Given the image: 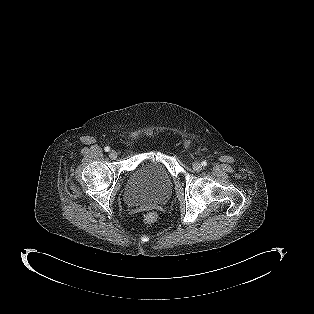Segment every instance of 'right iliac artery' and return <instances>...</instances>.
I'll return each mask as SVG.
<instances>
[{
    "instance_id": "right-iliac-artery-1",
    "label": "right iliac artery",
    "mask_w": 314,
    "mask_h": 314,
    "mask_svg": "<svg viewBox=\"0 0 314 314\" xmlns=\"http://www.w3.org/2000/svg\"><path fill=\"white\" fill-rule=\"evenodd\" d=\"M104 150H105L106 152H109V151H110V147L107 146V147L104 148Z\"/></svg>"
}]
</instances>
